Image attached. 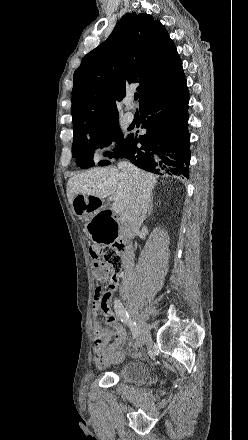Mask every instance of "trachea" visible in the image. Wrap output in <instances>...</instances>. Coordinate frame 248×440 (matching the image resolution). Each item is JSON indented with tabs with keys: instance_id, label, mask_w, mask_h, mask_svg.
I'll list each match as a JSON object with an SVG mask.
<instances>
[{
	"instance_id": "trachea-1",
	"label": "trachea",
	"mask_w": 248,
	"mask_h": 440,
	"mask_svg": "<svg viewBox=\"0 0 248 440\" xmlns=\"http://www.w3.org/2000/svg\"><path fill=\"white\" fill-rule=\"evenodd\" d=\"M137 99H138V94L135 93V94H134V100H137Z\"/></svg>"
}]
</instances>
